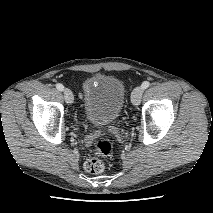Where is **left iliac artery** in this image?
<instances>
[{
    "label": "left iliac artery",
    "mask_w": 213,
    "mask_h": 213,
    "mask_svg": "<svg viewBox=\"0 0 213 213\" xmlns=\"http://www.w3.org/2000/svg\"><path fill=\"white\" fill-rule=\"evenodd\" d=\"M149 86H150V83H149L148 81H144V82L142 83V85H141V87H142L143 89H147Z\"/></svg>",
    "instance_id": "obj_1"
}]
</instances>
